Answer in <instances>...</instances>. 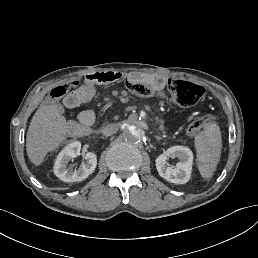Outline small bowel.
Returning a JSON list of instances; mask_svg holds the SVG:
<instances>
[{
    "instance_id": "c3829d8e",
    "label": "small bowel",
    "mask_w": 258,
    "mask_h": 258,
    "mask_svg": "<svg viewBox=\"0 0 258 258\" xmlns=\"http://www.w3.org/2000/svg\"><path fill=\"white\" fill-rule=\"evenodd\" d=\"M96 93V87L85 83L78 90L71 92L64 99L67 107H76L78 105L89 102ZM78 121L85 128H90L95 122V115L90 110H84L79 113Z\"/></svg>"
}]
</instances>
